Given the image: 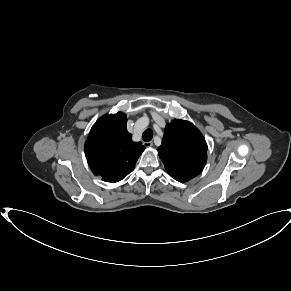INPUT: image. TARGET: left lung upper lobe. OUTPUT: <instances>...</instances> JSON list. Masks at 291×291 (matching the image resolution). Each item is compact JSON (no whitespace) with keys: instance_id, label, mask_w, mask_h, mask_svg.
Returning <instances> with one entry per match:
<instances>
[{"instance_id":"left-lung-upper-lobe-1","label":"left lung upper lobe","mask_w":291,"mask_h":291,"mask_svg":"<svg viewBox=\"0 0 291 291\" xmlns=\"http://www.w3.org/2000/svg\"><path fill=\"white\" fill-rule=\"evenodd\" d=\"M157 150L166 171L179 182L200 174L207 160L205 138L192 123L184 120H174L166 126Z\"/></svg>"}]
</instances>
